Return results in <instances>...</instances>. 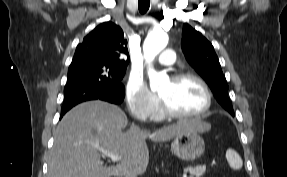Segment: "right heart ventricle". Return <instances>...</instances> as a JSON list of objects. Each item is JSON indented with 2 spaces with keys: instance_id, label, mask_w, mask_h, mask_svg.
<instances>
[{
  "instance_id": "obj_1",
  "label": "right heart ventricle",
  "mask_w": 287,
  "mask_h": 177,
  "mask_svg": "<svg viewBox=\"0 0 287 177\" xmlns=\"http://www.w3.org/2000/svg\"><path fill=\"white\" fill-rule=\"evenodd\" d=\"M156 118H158V119L162 118V114L156 115Z\"/></svg>"
}]
</instances>
